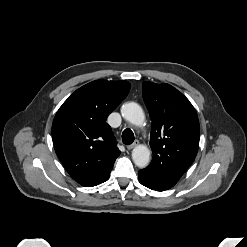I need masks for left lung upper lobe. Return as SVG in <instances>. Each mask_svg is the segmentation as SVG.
<instances>
[{"instance_id": "5c2ea615", "label": "left lung upper lobe", "mask_w": 247, "mask_h": 247, "mask_svg": "<svg viewBox=\"0 0 247 247\" xmlns=\"http://www.w3.org/2000/svg\"><path fill=\"white\" fill-rule=\"evenodd\" d=\"M144 102L152 120L153 159L146 172L174 186L196 157L200 127L189 100L173 86L145 81Z\"/></svg>"}]
</instances>
